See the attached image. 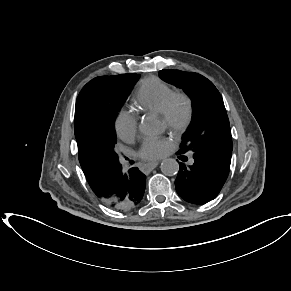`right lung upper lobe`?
<instances>
[{
    "label": "right lung upper lobe",
    "instance_id": "obj_1",
    "mask_svg": "<svg viewBox=\"0 0 291 291\" xmlns=\"http://www.w3.org/2000/svg\"><path fill=\"white\" fill-rule=\"evenodd\" d=\"M74 130L78 145V157L83 172L93 192L99 198L104 199L108 195V185L105 180V174L111 167V164L105 162L89 145L85 136V128L81 118V113L76 106Z\"/></svg>",
    "mask_w": 291,
    "mask_h": 291
}]
</instances>
